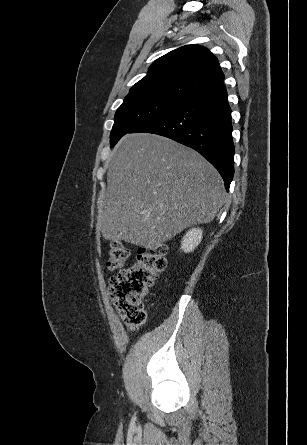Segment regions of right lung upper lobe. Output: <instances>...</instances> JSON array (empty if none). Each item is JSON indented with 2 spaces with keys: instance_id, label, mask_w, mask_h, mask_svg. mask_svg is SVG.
<instances>
[{
  "instance_id": "cb5924a9",
  "label": "right lung upper lobe",
  "mask_w": 307,
  "mask_h": 445,
  "mask_svg": "<svg viewBox=\"0 0 307 445\" xmlns=\"http://www.w3.org/2000/svg\"><path fill=\"white\" fill-rule=\"evenodd\" d=\"M223 79L218 60L208 49L187 45L153 62L147 75L130 89L127 96L163 95L188 99Z\"/></svg>"
}]
</instances>
